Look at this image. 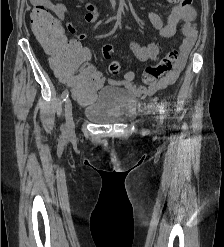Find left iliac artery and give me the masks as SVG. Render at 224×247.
Here are the masks:
<instances>
[{"label":"left iliac artery","mask_w":224,"mask_h":247,"mask_svg":"<svg viewBox=\"0 0 224 247\" xmlns=\"http://www.w3.org/2000/svg\"><path fill=\"white\" fill-rule=\"evenodd\" d=\"M165 109H164V104L161 103V106H160V120L163 121V119L165 118Z\"/></svg>","instance_id":"44dca946"}]
</instances>
